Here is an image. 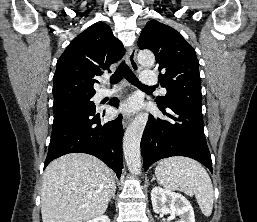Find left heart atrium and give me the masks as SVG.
Masks as SVG:
<instances>
[{"label":"left heart atrium","instance_id":"obj_1","mask_svg":"<svg viewBox=\"0 0 257 222\" xmlns=\"http://www.w3.org/2000/svg\"><path fill=\"white\" fill-rule=\"evenodd\" d=\"M138 108V101L135 98H129L119 108V112L123 114H130Z\"/></svg>","mask_w":257,"mask_h":222}]
</instances>
